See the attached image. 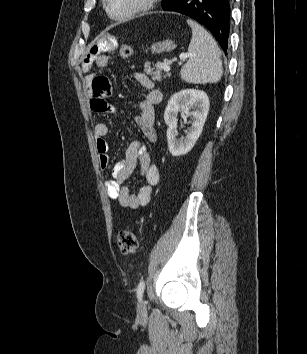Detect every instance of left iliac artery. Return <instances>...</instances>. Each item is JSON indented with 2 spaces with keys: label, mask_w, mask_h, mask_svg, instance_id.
<instances>
[{
  "label": "left iliac artery",
  "mask_w": 307,
  "mask_h": 354,
  "mask_svg": "<svg viewBox=\"0 0 307 354\" xmlns=\"http://www.w3.org/2000/svg\"><path fill=\"white\" fill-rule=\"evenodd\" d=\"M144 290H145V281L141 280L140 283L137 286V297H138L139 300L142 299Z\"/></svg>",
  "instance_id": "left-iliac-artery-1"
}]
</instances>
